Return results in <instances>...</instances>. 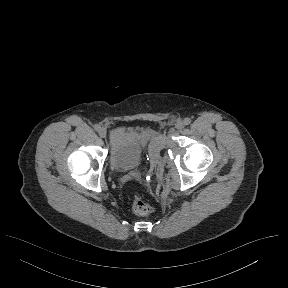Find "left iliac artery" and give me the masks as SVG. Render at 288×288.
<instances>
[{"label":"left iliac artery","instance_id":"obj_1","mask_svg":"<svg viewBox=\"0 0 288 288\" xmlns=\"http://www.w3.org/2000/svg\"><path fill=\"white\" fill-rule=\"evenodd\" d=\"M183 123L184 125H189L191 123V119L187 117L183 120Z\"/></svg>","mask_w":288,"mask_h":288}]
</instances>
